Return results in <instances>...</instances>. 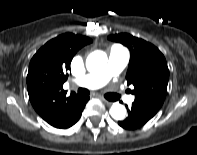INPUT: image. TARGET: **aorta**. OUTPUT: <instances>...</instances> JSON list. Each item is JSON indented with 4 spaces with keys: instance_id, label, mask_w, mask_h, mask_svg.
Instances as JSON below:
<instances>
[{
    "instance_id": "1",
    "label": "aorta",
    "mask_w": 197,
    "mask_h": 155,
    "mask_svg": "<svg viewBox=\"0 0 197 155\" xmlns=\"http://www.w3.org/2000/svg\"><path fill=\"white\" fill-rule=\"evenodd\" d=\"M107 64L105 52L97 50L90 53L86 59V67L89 72H100ZM110 115L115 120H122L126 115V108L120 103H114L110 108Z\"/></svg>"
}]
</instances>
